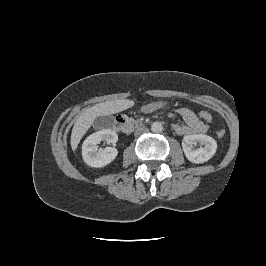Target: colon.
Returning a JSON list of instances; mask_svg holds the SVG:
<instances>
[{"instance_id": "colon-1", "label": "colon", "mask_w": 266, "mask_h": 266, "mask_svg": "<svg viewBox=\"0 0 266 266\" xmlns=\"http://www.w3.org/2000/svg\"><path fill=\"white\" fill-rule=\"evenodd\" d=\"M198 117L205 122H210L212 121V115L210 112L206 111V110H202L198 113ZM217 136L222 138L225 135V130H218L217 131Z\"/></svg>"}]
</instances>
